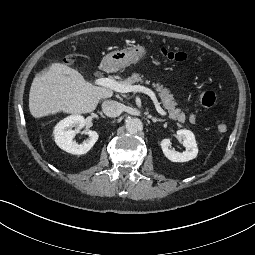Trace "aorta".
I'll list each match as a JSON object with an SVG mask.
<instances>
[{"mask_svg":"<svg viewBox=\"0 0 255 255\" xmlns=\"http://www.w3.org/2000/svg\"><path fill=\"white\" fill-rule=\"evenodd\" d=\"M126 129L131 134H136L143 130V123L138 118H130L126 121Z\"/></svg>","mask_w":255,"mask_h":255,"instance_id":"1","label":"aorta"}]
</instances>
